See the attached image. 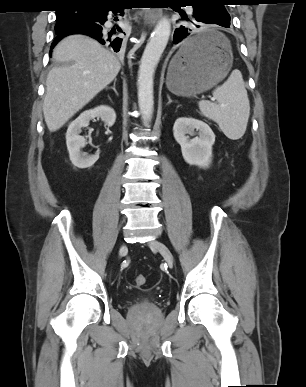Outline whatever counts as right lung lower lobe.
Here are the masks:
<instances>
[{"label":"right lung lower lobe","instance_id":"98d812e1","mask_svg":"<svg viewBox=\"0 0 306 387\" xmlns=\"http://www.w3.org/2000/svg\"><path fill=\"white\" fill-rule=\"evenodd\" d=\"M125 8L119 4H113L107 7L93 8L89 11V15L82 23L76 24L72 27L56 32L57 36L52 43L53 48L59 40L70 34H85L97 39L101 44H106L115 52H118L121 47L122 39L117 37L120 28L115 27L113 29L107 28L104 24L107 21V15L109 11L113 13H120L123 16V10Z\"/></svg>","mask_w":306,"mask_h":387}]
</instances>
